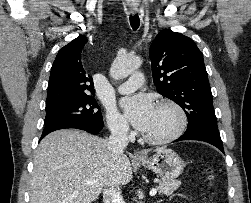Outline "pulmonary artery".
<instances>
[{
	"label": "pulmonary artery",
	"instance_id": "pulmonary-artery-1",
	"mask_svg": "<svg viewBox=\"0 0 251 203\" xmlns=\"http://www.w3.org/2000/svg\"><path fill=\"white\" fill-rule=\"evenodd\" d=\"M144 82V76L141 72L133 73L127 81L117 87L120 93H129L139 88Z\"/></svg>",
	"mask_w": 251,
	"mask_h": 203
}]
</instances>
